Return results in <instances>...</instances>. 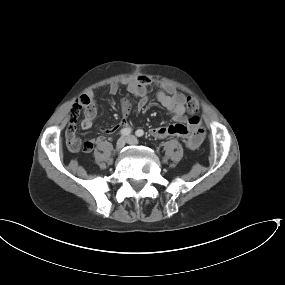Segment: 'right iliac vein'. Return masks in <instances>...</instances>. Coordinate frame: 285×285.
<instances>
[{
	"mask_svg": "<svg viewBox=\"0 0 285 285\" xmlns=\"http://www.w3.org/2000/svg\"><path fill=\"white\" fill-rule=\"evenodd\" d=\"M125 144H126V139L123 137L120 138L116 143L117 152H120L124 148Z\"/></svg>",
	"mask_w": 285,
	"mask_h": 285,
	"instance_id": "63e3f726",
	"label": "right iliac vein"
}]
</instances>
